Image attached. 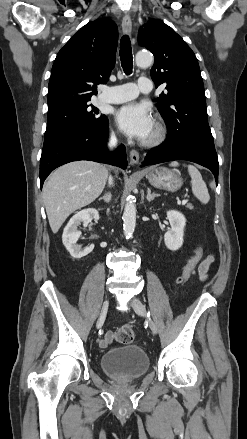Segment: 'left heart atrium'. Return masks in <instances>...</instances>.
<instances>
[{"mask_svg": "<svg viewBox=\"0 0 247 439\" xmlns=\"http://www.w3.org/2000/svg\"><path fill=\"white\" fill-rule=\"evenodd\" d=\"M115 117L120 129L138 140H146L154 128L151 111L144 103L126 104L117 110Z\"/></svg>", "mask_w": 247, "mask_h": 439, "instance_id": "1", "label": "left heart atrium"}]
</instances>
